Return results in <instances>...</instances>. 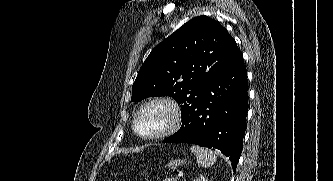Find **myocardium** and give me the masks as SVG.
I'll use <instances>...</instances> for the list:
<instances>
[{"label": "myocardium", "mask_w": 333, "mask_h": 181, "mask_svg": "<svg viewBox=\"0 0 333 181\" xmlns=\"http://www.w3.org/2000/svg\"><path fill=\"white\" fill-rule=\"evenodd\" d=\"M153 105H162L170 112V122L168 126L162 131L152 135H142L137 130V120L140 114L148 107ZM182 123V110L178 102L170 97L159 96L145 101L136 111L132 120V130L141 139L144 140H157L167 137L176 132Z\"/></svg>", "instance_id": "1"}]
</instances>
